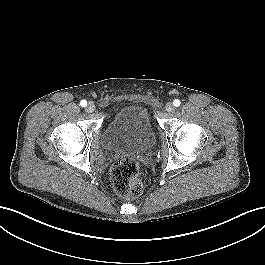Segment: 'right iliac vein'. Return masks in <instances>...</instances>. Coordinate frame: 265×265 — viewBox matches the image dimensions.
Returning a JSON list of instances; mask_svg holds the SVG:
<instances>
[{
  "label": "right iliac vein",
  "mask_w": 265,
  "mask_h": 265,
  "mask_svg": "<svg viewBox=\"0 0 265 265\" xmlns=\"http://www.w3.org/2000/svg\"><path fill=\"white\" fill-rule=\"evenodd\" d=\"M94 110H95V105L92 102H89L87 107H86V111L88 113H92V112H94Z\"/></svg>",
  "instance_id": "1"
}]
</instances>
